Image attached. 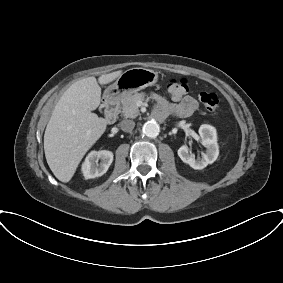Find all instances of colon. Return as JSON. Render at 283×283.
<instances>
[{"mask_svg":"<svg viewBox=\"0 0 283 283\" xmlns=\"http://www.w3.org/2000/svg\"><path fill=\"white\" fill-rule=\"evenodd\" d=\"M187 90V82L184 79H171L167 83V91L173 98L183 96ZM199 98L207 111L211 113H216L218 111L220 102L215 93L203 91L199 94Z\"/></svg>","mask_w":283,"mask_h":283,"instance_id":"colon-1","label":"colon"}]
</instances>
